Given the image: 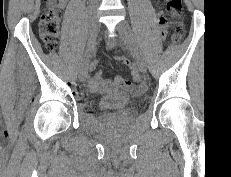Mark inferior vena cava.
<instances>
[{
  "instance_id": "602c4592",
  "label": "inferior vena cava",
  "mask_w": 231,
  "mask_h": 177,
  "mask_svg": "<svg viewBox=\"0 0 231 177\" xmlns=\"http://www.w3.org/2000/svg\"><path fill=\"white\" fill-rule=\"evenodd\" d=\"M91 1H94V2H95V1H98V0H91Z\"/></svg>"
}]
</instances>
